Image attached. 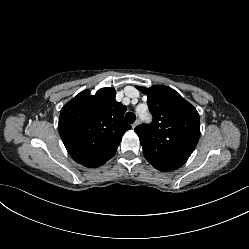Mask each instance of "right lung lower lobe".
Masks as SVG:
<instances>
[{
    "mask_svg": "<svg viewBox=\"0 0 249 249\" xmlns=\"http://www.w3.org/2000/svg\"><path fill=\"white\" fill-rule=\"evenodd\" d=\"M113 157V155L108 156L106 158L100 159L98 161H94L88 164H85L84 166L86 167H91V168H95V167H99L101 165H103L104 163H106V161H108L109 159H111Z\"/></svg>",
    "mask_w": 249,
    "mask_h": 249,
    "instance_id": "right-lung-lower-lobe-1",
    "label": "right lung lower lobe"
}]
</instances>
